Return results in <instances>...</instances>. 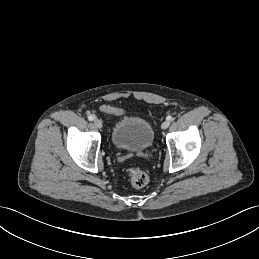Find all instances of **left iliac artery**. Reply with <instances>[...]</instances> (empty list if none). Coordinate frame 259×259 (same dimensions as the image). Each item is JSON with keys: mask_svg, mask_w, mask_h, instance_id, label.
Here are the masks:
<instances>
[{"mask_svg": "<svg viewBox=\"0 0 259 259\" xmlns=\"http://www.w3.org/2000/svg\"><path fill=\"white\" fill-rule=\"evenodd\" d=\"M166 120L172 121V120H173V117L169 115V116L166 117Z\"/></svg>", "mask_w": 259, "mask_h": 259, "instance_id": "left-iliac-artery-1", "label": "left iliac artery"}]
</instances>
